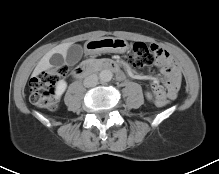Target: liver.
I'll return each mask as SVG.
<instances>
[{
  "label": "liver",
  "mask_w": 219,
  "mask_h": 174,
  "mask_svg": "<svg viewBox=\"0 0 219 174\" xmlns=\"http://www.w3.org/2000/svg\"><path fill=\"white\" fill-rule=\"evenodd\" d=\"M71 46V43H65V44H60L56 47H54L53 49H51L49 52H47L42 58L41 60L38 62L36 68L33 71V76H37L39 75L42 71H45L49 68L52 67V65L50 64L49 60L52 57L53 54L59 53L61 55H63L64 57L67 54V50L68 48Z\"/></svg>",
  "instance_id": "1"
}]
</instances>
